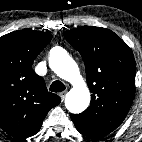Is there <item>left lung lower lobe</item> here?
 <instances>
[{"label":"left lung lower lobe","mask_w":142,"mask_h":142,"mask_svg":"<svg viewBox=\"0 0 142 142\" xmlns=\"http://www.w3.org/2000/svg\"><path fill=\"white\" fill-rule=\"evenodd\" d=\"M81 134H83V135H85V136H87V137H89V138H92V137H90L88 134H86V133H84L83 131H81V130H78Z\"/></svg>","instance_id":"1"}]
</instances>
